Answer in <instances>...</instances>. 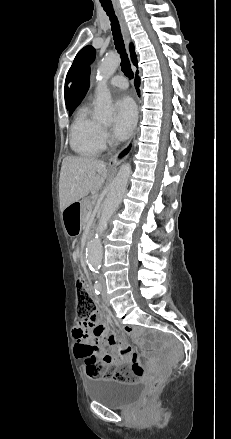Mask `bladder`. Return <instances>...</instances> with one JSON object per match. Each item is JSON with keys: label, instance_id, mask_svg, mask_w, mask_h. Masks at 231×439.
Listing matches in <instances>:
<instances>
[{"label": "bladder", "instance_id": "bladder-1", "mask_svg": "<svg viewBox=\"0 0 231 439\" xmlns=\"http://www.w3.org/2000/svg\"><path fill=\"white\" fill-rule=\"evenodd\" d=\"M142 388L139 381L115 382L106 378H95L87 384V396L110 408H118L135 400L141 394Z\"/></svg>", "mask_w": 231, "mask_h": 439}]
</instances>
